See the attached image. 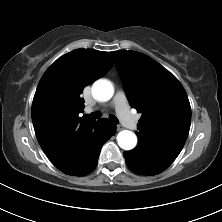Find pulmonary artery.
I'll return each mask as SVG.
<instances>
[{
  "instance_id": "e3ab8cb5",
  "label": "pulmonary artery",
  "mask_w": 222,
  "mask_h": 222,
  "mask_svg": "<svg viewBox=\"0 0 222 222\" xmlns=\"http://www.w3.org/2000/svg\"><path fill=\"white\" fill-rule=\"evenodd\" d=\"M111 105L115 108L118 117L126 127L131 129L137 127V120L131 115L125 93L122 90L116 92ZM92 111L93 108L86 109L87 113Z\"/></svg>"
}]
</instances>
